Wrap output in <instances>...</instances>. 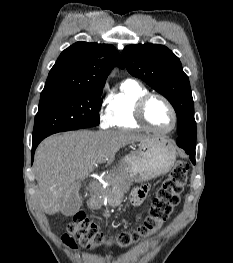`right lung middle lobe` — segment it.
Returning a JSON list of instances; mask_svg holds the SVG:
<instances>
[{
    "label": "right lung middle lobe",
    "mask_w": 233,
    "mask_h": 263,
    "mask_svg": "<svg viewBox=\"0 0 233 263\" xmlns=\"http://www.w3.org/2000/svg\"><path fill=\"white\" fill-rule=\"evenodd\" d=\"M102 91L69 90L41 95L33 141L61 131L97 126Z\"/></svg>",
    "instance_id": "right-lung-middle-lobe-1"
}]
</instances>
